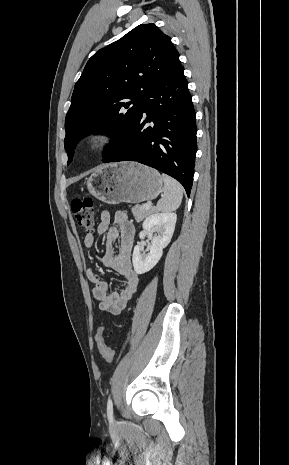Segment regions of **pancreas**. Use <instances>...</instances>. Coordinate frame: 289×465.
<instances>
[{"instance_id":"pancreas-1","label":"pancreas","mask_w":289,"mask_h":465,"mask_svg":"<svg viewBox=\"0 0 289 465\" xmlns=\"http://www.w3.org/2000/svg\"><path fill=\"white\" fill-rule=\"evenodd\" d=\"M131 210L137 222L142 221L152 212V209H145L143 205H136Z\"/></svg>"}]
</instances>
